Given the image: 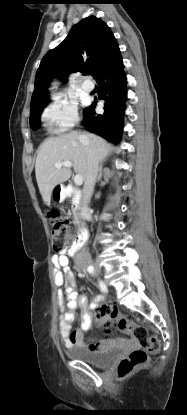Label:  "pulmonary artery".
Returning a JSON list of instances; mask_svg holds the SVG:
<instances>
[{
  "mask_svg": "<svg viewBox=\"0 0 187 415\" xmlns=\"http://www.w3.org/2000/svg\"><path fill=\"white\" fill-rule=\"evenodd\" d=\"M82 89L86 92H91L94 89V85L89 81H84L82 83Z\"/></svg>",
  "mask_w": 187,
  "mask_h": 415,
  "instance_id": "obj_1",
  "label": "pulmonary artery"
}]
</instances>
